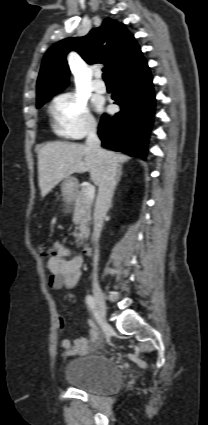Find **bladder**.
Returning a JSON list of instances; mask_svg holds the SVG:
<instances>
[{"label":"bladder","mask_w":208,"mask_h":425,"mask_svg":"<svg viewBox=\"0 0 208 425\" xmlns=\"http://www.w3.org/2000/svg\"><path fill=\"white\" fill-rule=\"evenodd\" d=\"M64 378L77 389L102 395L113 393L122 384L115 362L98 353L67 360Z\"/></svg>","instance_id":"1"}]
</instances>
